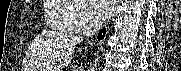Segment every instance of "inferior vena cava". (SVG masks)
I'll use <instances>...</instances> for the list:
<instances>
[{"mask_svg": "<svg viewBox=\"0 0 181 71\" xmlns=\"http://www.w3.org/2000/svg\"><path fill=\"white\" fill-rule=\"evenodd\" d=\"M102 27V23L94 20L93 18H89L85 25L83 26V35L86 37L94 35L96 32L100 30ZM83 40V38H79V41Z\"/></svg>", "mask_w": 181, "mask_h": 71, "instance_id": "1", "label": "inferior vena cava"}]
</instances>
